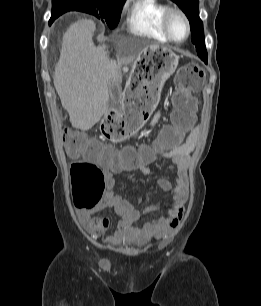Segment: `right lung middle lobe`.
Instances as JSON below:
<instances>
[{"label": "right lung middle lobe", "instance_id": "obj_1", "mask_svg": "<svg viewBox=\"0 0 261 306\" xmlns=\"http://www.w3.org/2000/svg\"><path fill=\"white\" fill-rule=\"evenodd\" d=\"M125 0H75L52 2L51 18L56 19L67 11H81L101 18L111 29L118 25Z\"/></svg>", "mask_w": 261, "mask_h": 306}]
</instances>
